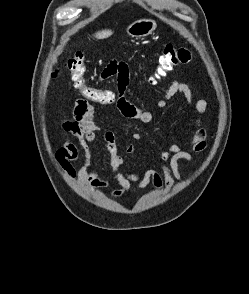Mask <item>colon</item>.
<instances>
[{"label":"colon","instance_id":"5ec220e1","mask_svg":"<svg viewBox=\"0 0 249 294\" xmlns=\"http://www.w3.org/2000/svg\"><path fill=\"white\" fill-rule=\"evenodd\" d=\"M192 59L191 51L182 46L168 44L158 57L157 67L152 77V82L164 78L180 65L187 64ZM127 64L123 61L113 60L103 71L108 76L123 73ZM73 87L84 95L89 101L108 104L114 100V93L109 89H97L90 87L86 81V67L84 55L80 52L71 57L64 66Z\"/></svg>","mask_w":249,"mask_h":294}]
</instances>
